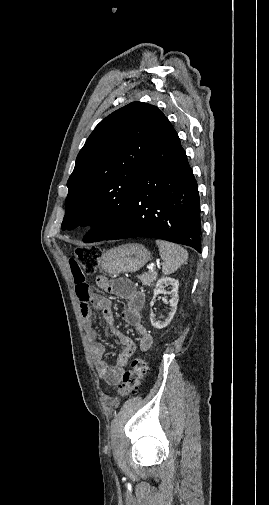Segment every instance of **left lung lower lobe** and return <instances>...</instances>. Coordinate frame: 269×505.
I'll list each match as a JSON object with an SVG mask.
<instances>
[{"label":"left lung lower lobe","mask_w":269,"mask_h":505,"mask_svg":"<svg viewBox=\"0 0 269 505\" xmlns=\"http://www.w3.org/2000/svg\"><path fill=\"white\" fill-rule=\"evenodd\" d=\"M133 237L159 238L201 252L198 186L180 139L166 117L132 191L127 216L102 240Z\"/></svg>","instance_id":"0a47b994"}]
</instances>
